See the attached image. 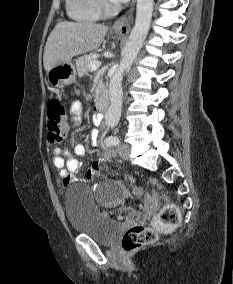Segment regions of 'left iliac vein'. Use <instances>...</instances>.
Instances as JSON below:
<instances>
[{
	"instance_id": "left-iliac-vein-1",
	"label": "left iliac vein",
	"mask_w": 233,
	"mask_h": 284,
	"mask_svg": "<svg viewBox=\"0 0 233 284\" xmlns=\"http://www.w3.org/2000/svg\"><path fill=\"white\" fill-rule=\"evenodd\" d=\"M119 156L124 159L128 160L129 159V153H130V147L129 145L126 144H120L117 148Z\"/></svg>"
}]
</instances>
